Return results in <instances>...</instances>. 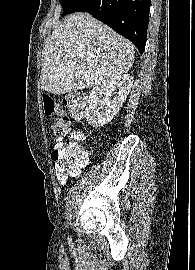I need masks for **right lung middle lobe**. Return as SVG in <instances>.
<instances>
[{
  "label": "right lung middle lobe",
  "mask_w": 195,
  "mask_h": 270,
  "mask_svg": "<svg viewBox=\"0 0 195 270\" xmlns=\"http://www.w3.org/2000/svg\"><path fill=\"white\" fill-rule=\"evenodd\" d=\"M78 1L79 0H60L61 6L63 7L62 16L73 13V9Z\"/></svg>",
  "instance_id": "dd1d6c3e"
}]
</instances>
